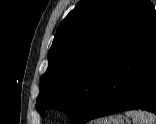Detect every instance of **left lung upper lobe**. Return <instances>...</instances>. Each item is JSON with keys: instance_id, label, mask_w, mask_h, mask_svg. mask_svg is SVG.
Segmentation results:
<instances>
[{"instance_id": "obj_1", "label": "left lung upper lobe", "mask_w": 156, "mask_h": 124, "mask_svg": "<svg viewBox=\"0 0 156 124\" xmlns=\"http://www.w3.org/2000/svg\"><path fill=\"white\" fill-rule=\"evenodd\" d=\"M156 16L149 0H81L56 30L36 108L79 124L128 45Z\"/></svg>"}]
</instances>
